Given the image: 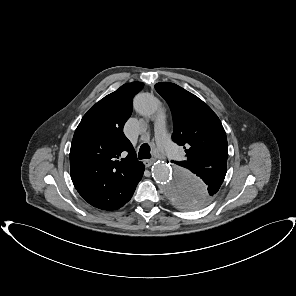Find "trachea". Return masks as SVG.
<instances>
[{
  "label": "trachea",
  "mask_w": 296,
  "mask_h": 296,
  "mask_svg": "<svg viewBox=\"0 0 296 296\" xmlns=\"http://www.w3.org/2000/svg\"><path fill=\"white\" fill-rule=\"evenodd\" d=\"M138 158L141 159H149L151 158L150 146L147 143L141 145L138 153Z\"/></svg>",
  "instance_id": "3493384b"
}]
</instances>
